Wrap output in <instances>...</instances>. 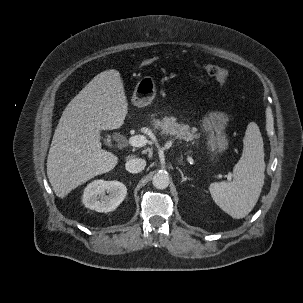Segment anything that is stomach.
<instances>
[{
  "instance_id": "1",
  "label": "stomach",
  "mask_w": 303,
  "mask_h": 303,
  "mask_svg": "<svg viewBox=\"0 0 303 303\" xmlns=\"http://www.w3.org/2000/svg\"><path fill=\"white\" fill-rule=\"evenodd\" d=\"M156 95L155 80L150 76L141 78L134 90L132 103L141 108L152 102ZM229 121L224 112H210L202 120V127L207 133V144L213 155L221 154L228 147V140L224 129Z\"/></svg>"
}]
</instances>
